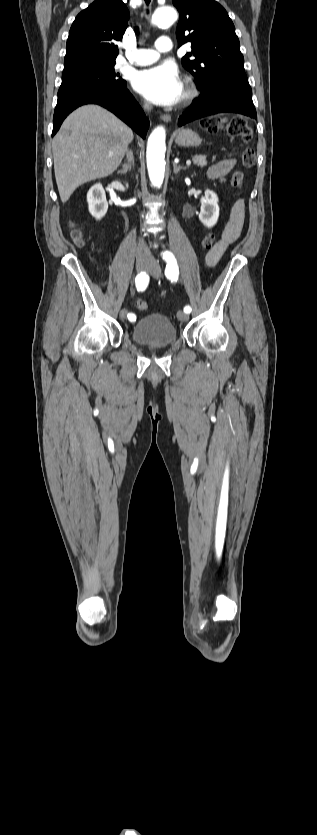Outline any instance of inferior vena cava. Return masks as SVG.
Segmentation results:
<instances>
[{
    "mask_svg": "<svg viewBox=\"0 0 317 835\" xmlns=\"http://www.w3.org/2000/svg\"><path fill=\"white\" fill-rule=\"evenodd\" d=\"M144 107H145V109H151L152 108L151 105H149V104H145ZM136 255H137V257H149L150 256V252L148 250V247H147V245H146V243L144 242L143 239H139V241H138V245H137V249H136Z\"/></svg>",
    "mask_w": 317,
    "mask_h": 835,
    "instance_id": "602c4592",
    "label": "inferior vena cava"
}]
</instances>
